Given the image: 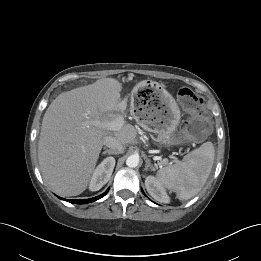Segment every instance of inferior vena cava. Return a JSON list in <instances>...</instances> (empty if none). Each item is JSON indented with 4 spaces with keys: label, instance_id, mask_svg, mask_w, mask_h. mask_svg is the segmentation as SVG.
<instances>
[{
    "label": "inferior vena cava",
    "instance_id": "602c4592",
    "mask_svg": "<svg viewBox=\"0 0 261 261\" xmlns=\"http://www.w3.org/2000/svg\"><path fill=\"white\" fill-rule=\"evenodd\" d=\"M103 144L109 148L114 154H120L123 153L124 147L123 145L112 136H106L104 137Z\"/></svg>",
    "mask_w": 261,
    "mask_h": 261
}]
</instances>
